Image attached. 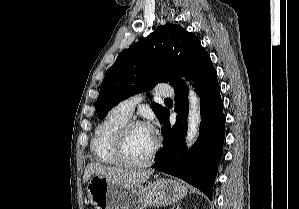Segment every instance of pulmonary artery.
<instances>
[{
    "label": "pulmonary artery",
    "mask_w": 299,
    "mask_h": 209,
    "mask_svg": "<svg viewBox=\"0 0 299 209\" xmlns=\"http://www.w3.org/2000/svg\"><path fill=\"white\" fill-rule=\"evenodd\" d=\"M155 95L169 98L173 95V89L167 84H159L155 89ZM143 100V95L135 94L121 101L116 109L126 117L130 118L135 106Z\"/></svg>",
    "instance_id": "e3ab8cb5"
}]
</instances>
